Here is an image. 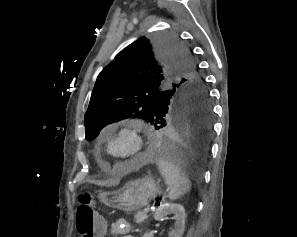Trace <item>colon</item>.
Returning <instances> with one entry per match:
<instances>
[{"mask_svg": "<svg viewBox=\"0 0 297 237\" xmlns=\"http://www.w3.org/2000/svg\"><path fill=\"white\" fill-rule=\"evenodd\" d=\"M76 226L79 237H98L102 223L95 211L93 198L89 192L79 196Z\"/></svg>", "mask_w": 297, "mask_h": 237, "instance_id": "5ec220e1", "label": "colon"}]
</instances>
